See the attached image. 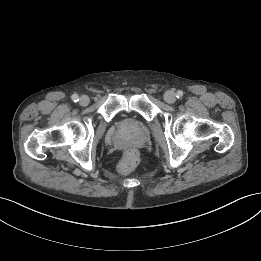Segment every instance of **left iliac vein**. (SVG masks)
<instances>
[{
    "mask_svg": "<svg viewBox=\"0 0 261 261\" xmlns=\"http://www.w3.org/2000/svg\"><path fill=\"white\" fill-rule=\"evenodd\" d=\"M164 100L169 103V104H172L176 101V95L174 92L172 91H167L165 94H164Z\"/></svg>",
    "mask_w": 261,
    "mask_h": 261,
    "instance_id": "obj_1",
    "label": "left iliac vein"
}]
</instances>
